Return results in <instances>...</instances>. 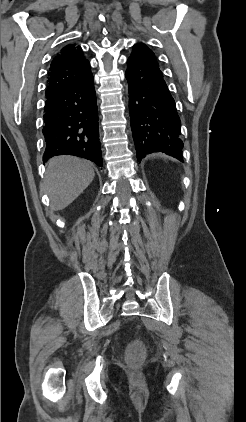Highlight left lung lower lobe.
Returning <instances> with one entry per match:
<instances>
[{
  "mask_svg": "<svg viewBox=\"0 0 246 422\" xmlns=\"http://www.w3.org/2000/svg\"><path fill=\"white\" fill-rule=\"evenodd\" d=\"M127 65L130 122L138 161L154 152L183 161L180 118L157 61L137 44Z\"/></svg>",
  "mask_w": 246,
  "mask_h": 422,
  "instance_id": "left-lung-lower-lobe-1",
  "label": "left lung lower lobe"
}]
</instances>
